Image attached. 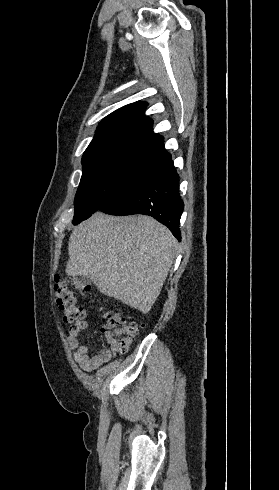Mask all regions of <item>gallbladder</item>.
I'll return each instance as SVG.
<instances>
[{"instance_id": "obj_1", "label": "gallbladder", "mask_w": 279, "mask_h": 490, "mask_svg": "<svg viewBox=\"0 0 279 490\" xmlns=\"http://www.w3.org/2000/svg\"><path fill=\"white\" fill-rule=\"evenodd\" d=\"M80 282L81 284H84V286H86V284H92L93 280H91V278H88V276H81Z\"/></svg>"}]
</instances>
